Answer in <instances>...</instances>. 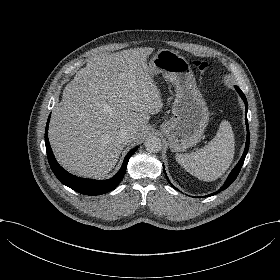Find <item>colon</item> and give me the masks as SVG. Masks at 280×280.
Returning a JSON list of instances; mask_svg holds the SVG:
<instances>
[{"mask_svg": "<svg viewBox=\"0 0 280 280\" xmlns=\"http://www.w3.org/2000/svg\"><path fill=\"white\" fill-rule=\"evenodd\" d=\"M195 69L199 72H205L208 69V63L202 61H194Z\"/></svg>", "mask_w": 280, "mask_h": 280, "instance_id": "obj_1", "label": "colon"}]
</instances>
